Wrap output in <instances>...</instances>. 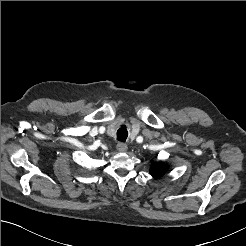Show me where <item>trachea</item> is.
Instances as JSON below:
<instances>
[{
	"mask_svg": "<svg viewBox=\"0 0 246 246\" xmlns=\"http://www.w3.org/2000/svg\"><path fill=\"white\" fill-rule=\"evenodd\" d=\"M127 137H128L127 129L124 126L119 128L117 131V140L121 142H125Z\"/></svg>",
	"mask_w": 246,
	"mask_h": 246,
	"instance_id": "trachea-1",
	"label": "trachea"
}]
</instances>
